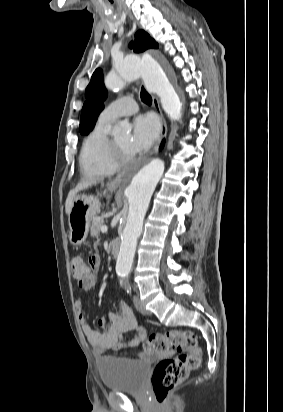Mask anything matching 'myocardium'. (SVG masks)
Here are the masks:
<instances>
[{"label": "myocardium", "mask_w": 283, "mask_h": 412, "mask_svg": "<svg viewBox=\"0 0 283 412\" xmlns=\"http://www.w3.org/2000/svg\"><path fill=\"white\" fill-rule=\"evenodd\" d=\"M109 154L112 162L118 168L126 166L134 160V154H124L114 138L109 141Z\"/></svg>", "instance_id": "1"}]
</instances>
